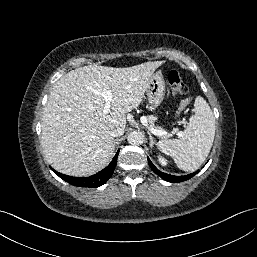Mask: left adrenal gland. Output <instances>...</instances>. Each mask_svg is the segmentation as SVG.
Here are the masks:
<instances>
[{
  "label": "left adrenal gland",
  "instance_id": "left-adrenal-gland-1",
  "mask_svg": "<svg viewBox=\"0 0 257 257\" xmlns=\"http://www.w3.org/2000/svg\"><path fill=\"white\" fill-rule=\"evenodd\" d=\"M148 134H149V139H150V147H153L154 144H156V143H155V140H154V138L152 137V135H151L150 132H148Z\"/></svg>",
  "mask_w": 257,
  "mask_h": 257
}]
</instances>
